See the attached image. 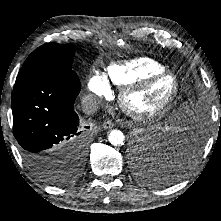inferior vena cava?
<instances>
[{"label":"inferior vena cava","instance_id":"1","mask_svg":"<svg viewBox=\"0 0 221 221\" xmlns=\"http://www.w3.org/2000/svg\"><path fill=\"white\" fill-rule=\"evenodd\" d=\"M99 99L93 95H86L81 100L82 110L85 114H93L99 106Z\"/></svg>","mask_w":221,"mask_h":221}]
</instances>
